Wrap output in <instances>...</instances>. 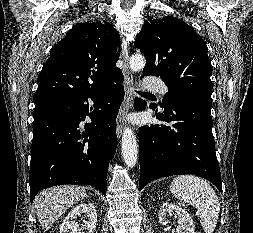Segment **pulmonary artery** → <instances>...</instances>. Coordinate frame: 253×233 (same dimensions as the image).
I'll list each match as a JSON object with an SVG mask.
<instances>
[{"instance_id": "e3ab8cb5", "label": "pulmonary artery", "mask_w": 253, "mask_h": 233, "mask_svg": "<svg viewBox=\"0 0 253 233\" xmlns=\"http://www.w3.org/2000/svg\"><path fill=\"white\" fill-rule=\"evenodd\" d=\"M144 85L146 89L157 92L163 96L168 92V87L158 79L148 78L145 80Z\"/></svg>"}]
</instances>
